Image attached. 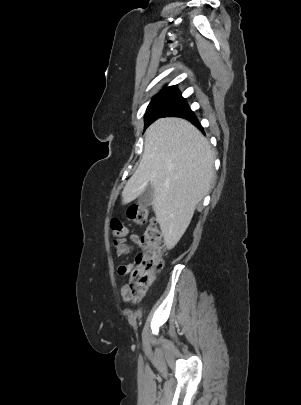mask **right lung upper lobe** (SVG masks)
Returning a JSON list of instances; mask_svg holds the SVG:
<instances>
[{
	"instance_id": "obj_1",
	"label": "right lung upper lobe",
	"mask_w": 301,
	"mask_h": 405,
	"mask_svg": "<svg viewBox=\"0 0 301 405\" xmlns=\"http://www.w3.org/2000/svg\"><path fill=\"white\" fill-rule=\"evenodd\" d=\"M171 91H178V89L176 88V86L166 87L159 94L166 93V92H171Z\"/></svg>"
}]
</instances>
